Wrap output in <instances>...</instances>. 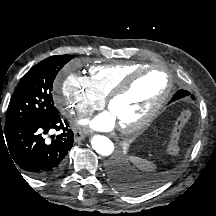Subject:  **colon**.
I'll use <instances>...</instances> for the list:
<instances>
[{"label": "colon", "instance_id": "1", "mask_svg": "<svg viewBox=\"0 0 216 216\" xmlns=\"http://www.w3.org/2000/svg\"><path fill=\"white\" fill-rule=\"evenodd\" d=\"M191 117V111L189 109H184L178 115L177 119L175 120L172 133H171V140L168 145V152L171 155H176L180 150V139L181 133L184 126L187 124Z\"/></svg>", "mask_w": 216, "mask_h": 216}]
</instances>
